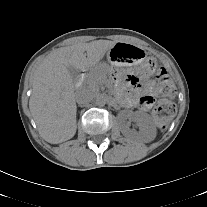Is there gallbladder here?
I'll list each match as a JSON object with an SVG mask.
<instances>
[{
    "label": "gallbladder",
    "instance_id": "1",
    "mask_svg": "<svg viewBox=\"0 0 207 207\" xmlns=\"http://www.w3.org/2000/svg\"><path fill=\"white\" fill-rule=\"evenodd\" d=\"M68 70H69L71 75H75L77 73V70L74 67H72V66H69Z\"/></svg>",
    "mask_w": 207,
    "mask_h": 207
}]
</instances>
